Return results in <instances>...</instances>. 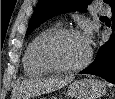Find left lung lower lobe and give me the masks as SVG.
I'll return each instance as SVG.
<instances>
[{
    "mask_svg": "<svg viewBox=\"0 0 115 99\" xmlns=\"http://www.w3.org/2000/svg\"><path fill=\"white\" fill-rule=\"evenodd\" d=\"M113 27L115 26V3L111 6ZM80 74H92L115 84V41L111 39L102 45L92 64Z\"/></svg>",
    "mask_w": 115,
    "mask_h": 99,
    "instance_id": "0a47b994",
    "label": "left lung lower lobe"
}]
</instances>
